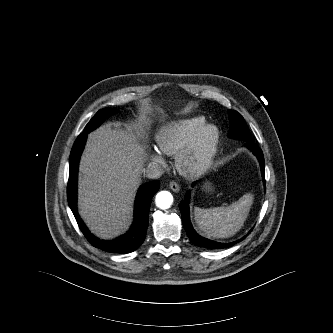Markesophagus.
Here are the masks:
<instances>
[{"mask_svg": "<svg viewBox=\"0 0 333 333\" xmlns=\"http://www.w3.org/2000/svg\"><path fill=\"white\" fill-rule=\"evenodd\" d=\"M169 187H170V189L172 190V191H174V192H179V190H180V186H179V184L177 183V182H175V181H171L170 183H169Z\"/></svg>", "mask_w": 333, "mask_h": 333, "instance_id": "1", "label": "esophagus"}]
</instances>
